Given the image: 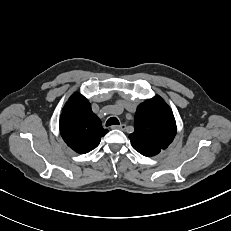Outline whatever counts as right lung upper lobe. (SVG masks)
<instances>
[{"instance_id": "1", "label": "right lung upper lobe", "mask_w": 231, "mask_h": 231, "mask_svg": "<svg viewBox=\"0 0 231 231\" xmlns=\"http://www.w3.org/2000/svg\"><path fill=\"white\" fill-rule=\"evenodd\" d=\"M108 130L92 112L88 100L79 93L73 94L63 108L60 133L75 152L85 154L95 149Z\"/></svg>"}]
</instances>
